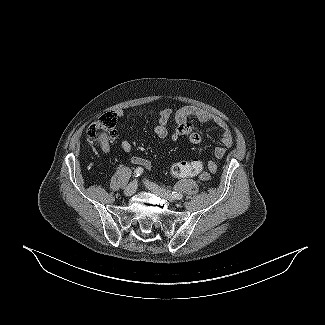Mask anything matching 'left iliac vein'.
<instances>
[{
    "instance_id": "4c4485c4",
    "label": "left iliac vein",
    "mask_w": 325,
    "mask_h": 325,
    "mask_svg": "<svg viewBox=\"0 0 325 325\" xmlns=\"http://www.w3.org/2000/svg\"><path fill=\"white\" fill-rule=\"evenodd\" d=\"M145 185L149 190H151L152 192L156 193L157 195H159L161 197H164L165 199L169 200L170 202H174L176 199L172 194L166 192L164 189H162L161 187H159L158 185H156L153 182L146 180Z\"/></svg>"
}]
</instances>
